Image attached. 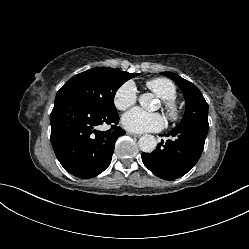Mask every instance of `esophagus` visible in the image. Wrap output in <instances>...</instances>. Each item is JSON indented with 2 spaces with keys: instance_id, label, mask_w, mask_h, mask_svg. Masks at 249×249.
Returning <instances> with one entry per match:
<instances>
[{
  "instance_id": "obj_1",
  "label": "esophagus",
  "mask_w": 249,
  "mask_h": 249,
  "mask_svg": "<svg viewBox=\"0 0 249 249\" xmlns=\"http://www.w3.org/2000/svg\"><path fill=\"white\" fill-rule=\"evenodd\" d=\"M127 134L129 136H132V137H139L140 136L139 134H135V133H132V132H127Z\"/></svg>"
}]
</instances>
